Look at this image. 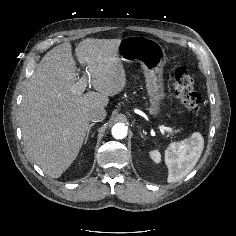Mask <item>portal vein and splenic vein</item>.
I'll list each match as a JSON object with an SVG mask.
<instances>
[{
    "label": "portal vein and splenic vein",
    "mask_w": 236,
    "mask_h": 236,
    "mask_svg": "<svg viewBox=\"0 0 236 236\" xmlns=\"http://www.w3.org/2000/svg\"><path fill=\"white\" fill-rule=\"evenodd\" d=\"M86 86H87V80L84 77H82L80 79V81L75 84L74 92L81 95L84 92V90L86 89ZM159 129H160L161 132L166 131V132H169V133H174L172 128L165 127L163 125H160Z\"/></svg>",
    "instance_id": "portal-vein-and-splenic-vein-1"
}]
</instances>
